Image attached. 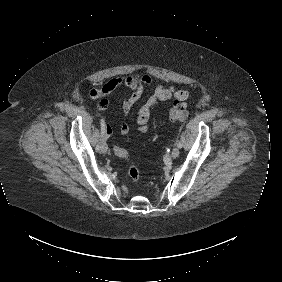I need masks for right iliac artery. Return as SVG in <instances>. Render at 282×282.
Wrapping results in <instances>:
<instances>
[{"mask_svg":"<svg viewBox=\"0 0 282 282\" xmlns=\"http://www.w3.org/2000/svg\"><path fill=\"white\" fill-rule=\"evenodd\" d=\"M100 123H101V138L104 139V138H106V133H105L106 123H105L104 118L101 119Z\"/></svg>","mask_w":282,"mask_h":282,"instance_id":"obj_1","label":"right iliac artery"}]
</instances>
